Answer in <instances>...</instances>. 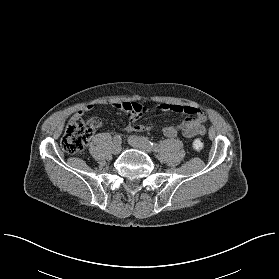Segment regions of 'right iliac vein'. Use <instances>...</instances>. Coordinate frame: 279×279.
Here are the masks:
<instances>
[{"label":"right iliac vein","mask_w":279,"mask_h":279,"mask_svg":"<svg viewBox=\"0 0 279 279\" xmlns=\"http://www.w3.org/2000/svg\"><path fill=\"white\" fill-rule=\"evenodd\" d=\"M121 149H122L121 144L116 143L112 147V153L113 154H119L121 152Z\"/></svg>","instance_id":"63e3f726"}]
</instances>
